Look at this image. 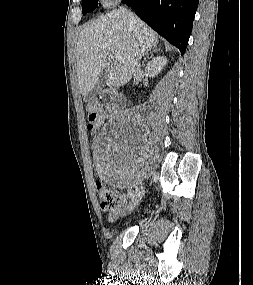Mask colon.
Masks as SVG:
<instances>
[{
    "mask_svg": "<svg viewBox=\"0 0 253 285\" xmlns=\"http://www.w3.org/2000/svg\"><path fill=\"white\" fill-rule=\"evenodd\" d=\"M102 121V110L98 102L94 101L88 105L87 128L88 136L93 141H100V136H96L94 132ZM91 165L95 164L94 160L90 161ZM96 192L100 200L102 210L111 218H116L124 208L126 201L118 192L106 187L101 182L96 183Z\"/></svg>",
    "mask_w": 253,
    "mask_h": 285,
    "instance_id": "obj_1",
    "label": "colon"
}]
</instances>
